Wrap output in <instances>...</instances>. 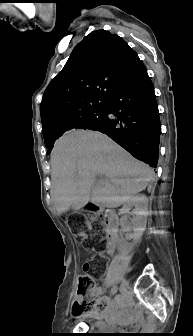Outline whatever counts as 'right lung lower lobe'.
I'll return each instance as SVG.
<instances>
[{"label": "right lung lower lobe", "mask_w": 193, "mask_h": 336, "mask_svg": "<svg viewBox=\"0 0 193 336\" xmlns=\"http://www.w3.org/2000/svg\"><path fill=\"white\" fill-rule=\"evenodd\" d=\"M108 117L98 131L108 135L137 159L157 167L161 124L152 82L139 62L110 97Z\"/></svg>", "instance_id": "obj_1"}]
</instances>
